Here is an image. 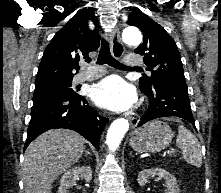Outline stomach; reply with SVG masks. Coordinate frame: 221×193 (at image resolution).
Instances as JSON below:
<instances>
[{"label":"stomach","mask_w":221,"mask_h":193,"mask_svg":"<svg viewBox=\"0 0 221 193\" xmlns=\"http://www.w3.org/2000/svg\"><path fill=\"white\" fill-rule=\"evenodd\" d=\"M173 138L169 125L161 120L150 121L130 134L129 144L136 152H159Z\"/></svg>","instance_id":"obj_1"}]
</instances>
